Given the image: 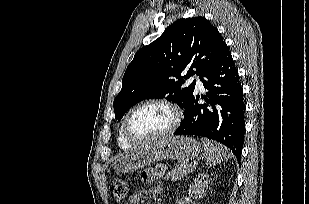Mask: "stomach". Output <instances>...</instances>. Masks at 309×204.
<instances>
[{"label":"stomach","instance_id":"1","mask_svg":"<svg viewBox=\"0 0 309 204\" xmlns=\"http://www.w3.org/2000/svg\"><path fill=\"white\" fill-rule=\"evenodd\" d=\"M200 143L187 136H174L158 139L145 144L133 153L119 158L114 165L117 172L129 173L164 159L187 162L199 155Z\"/></svg>","mask_w":309,"mask_h":204}]
</instances>
